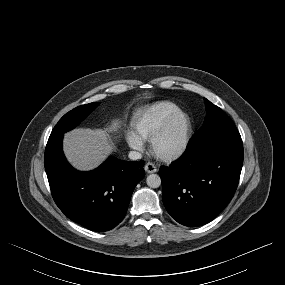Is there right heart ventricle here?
I'll return each instance as SVG.
<instances>
[{
    "instance_id": "right-heart-ventricle-1",
    "label": "right heart ventricle",
    "mask_w": 285,
    "mask_h": 285,
    "mask_svg": "<svg viewBox=\"0 0 285 285\" xmlns=\"http://www.w3.org/2000/svg\"><path fill=\"white\" fill-rule=\"evenodd\" d=\"M179 110L176 103L168 100L142 106L133 115V129L142 139H149L171 114Z\"/></svg>"
}]
</instances>
